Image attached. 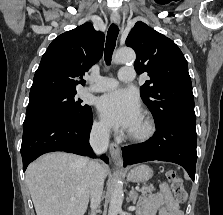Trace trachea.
<instances>
[{"instance_id":"obj_1","label":"trachea","mask_w":223,"mask_h":215,"mask_svg":"<svg viewBox=\"0 0 223 215\" xmlns=\"http://www.w3.org/2000/svg\"><path fill=\"white\" fill-rule=\"evenodd\" d=\"M119 34V28L117 25L112 23L107 32V39L105 44V62L107 65H110L112 54L116 46L117 36Z\"/></svg>"}]
</instances>
